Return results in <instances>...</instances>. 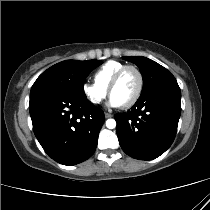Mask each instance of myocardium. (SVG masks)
Wrapping results in <instances>:
<instances>
[{"label": "myocardium", "mask_w": 210, "mask_h": 210, "mask_svg": "<svg viewBox=\"0 0 210 210\" xmlns=\"http://www.w3.org/2000/svg\"><path fill=\"white\" fill-rule=\"evenodd\" d=\"M127 70H134L139 78V85H138V89L135 93V95L133 96V98L131 100H129L128 102H126L125 104H122L121 107L122 108H130L133 105H135L138 100L140 99L143 90H144V76L142 71L135 65H124L122 66L114 75V77L112 78L110 85L108 87V92L111 95L113 89L116 87V85L119 83L122 75L124 74L125 71Z\"/></svg>", "instance_id": "myocardium-1"}]
</instances>
